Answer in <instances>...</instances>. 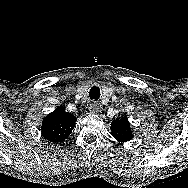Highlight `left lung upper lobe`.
I'll return each instance as SVG.
<instances>
[{"label": "left lung upper lobe", "instance_id": "1", "mask_svg": "<svg viewBox=\"0 0 188 188\" xmlns=\"http://www.w3.org/2000/svg\"><path fill=\"white\" fill-rule=\"evenodd\" d=\"M130 129V123L127 116H123L118 120H113L111 123L112 136L121 143L132 139L133 134Z\"/></svg>", "mask_w": 188, "mask_h": 188}]
</instances>
